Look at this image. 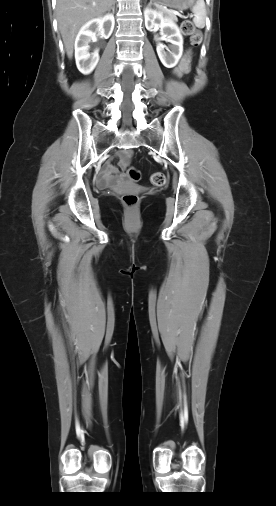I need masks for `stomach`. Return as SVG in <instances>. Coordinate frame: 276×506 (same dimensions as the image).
<instances>
[{
	"instance_id": "stomach-1",
	"label": "stomach",
	"mask_w": 276,
	"mask_h": 506,
	"mask_svg": "<svg viewBox=\"0 0 276 506\" xmlns=\"http://www.w3.org/2000/svg\"><path fill=\"white\" fill-rule=\"evenodd\" d=\"M157 7H169L177 10H186L191 7L194 0H152Z\"/></svg>"
}]
</instances>
